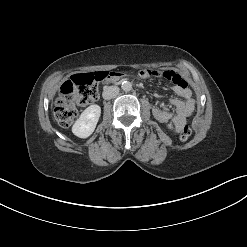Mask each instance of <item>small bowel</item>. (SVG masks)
Instances as JSON below:
<instances>
[{
    "label": "small bowel",
    "mask_w": 247,
    "mask_h": 247,
    "mask_svg": "<svg viewBox=\"0 0 247 247\" xmlns=\"http://www.w3.org/2000/svg\"><path fill=\"white\" fill-rule=\"evenodd\" d=\"M138 75L141 78L159 77L164 78L174 84V92L182 99L171 100V104L175 108V113L169 112L166 109L154 107L152 112L154 117L163 123L171 122L177 131L186 124L187 119L192 115L195 108V101L192 97V91L188 88L187 82L175 71L167 69H143ZM122 74L112 73L110 80L120 78Z\"/></svg>",
    "instance_id": "obj_1"
}]
</instances>
